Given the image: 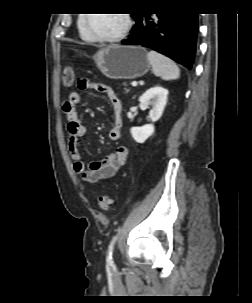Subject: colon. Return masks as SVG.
Returning <instances> with one entry per match:
<instances>
[{
    "instance_id": "colon-1",
    "label": "colon",
    "mask_w": 252,
    "mask_h": 303,
    "mask_svg": "<svg viewBox=\"0 0 252 303\" xmlns=\"http://www.w3.org/2000/svg\"><path fill=\"white\" fill-rule=\"evenodd\" d=\"M63 86L66 89L72 88L75 84V74L71 66L65 68L62 75ZM98 206L104 213H109L113 209V200L108 195L98 196Z\"/></svg>"
}]
</instances>
